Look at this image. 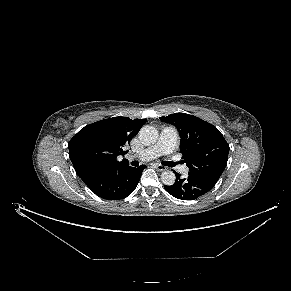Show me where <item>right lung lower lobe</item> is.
Masks as SVG:
<instances>
[{
  "mask_svg": "<svg viewBox=\"0 0 291 291\" xmlns=\"http://www.w3.org/2000/svg\"><path fill=\"white\" fill-rule=\"evenodd\" d=\"M145 167L126 165L116 169H100L82 180L97 196L107 200H120L135 190Z\"/></svg>",
  "mask_w": 291,
  "mask_h": 291,
  "instance_id": "right-lung-lower-lobe-1",
  "label": "right lung lower lobe"
}]
</instances>
